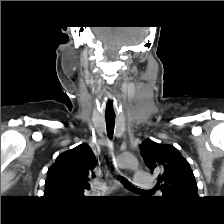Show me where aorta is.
Here are the masks:
<instances>
[{
	"instance_id": "obj_1",
	"label": "aorta",
	"mask_w": 224,
	"mask_h": 224,
	"mask_svg": "<svg viewBox=\"0 0 224 224\" xmlns=\"http://www.w3.org/2000/svg\"><path fill=\"white\" fill-rule=\"evenodd\" d=\"M116 162L117 165L121 168L136 169L139 165L137 158L130 154L120 155Z\"/></svg>"
}]
</instances>
